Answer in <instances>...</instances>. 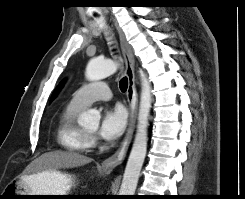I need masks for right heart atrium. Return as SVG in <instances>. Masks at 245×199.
<instances>
[{
  "mask_svg": "<svg viewBox=\"0 0 245 199\" xmlns=\"http://www.w3.org/2000/svg\"><path fill=\"white\" fill-rule=\"evenodd\" d=\"M91 142L93 141V138H90Z\"/></svg>",
  "mask_w": 245,
  "mask_h": 199,
  "instance_id": "right-heart-atrium-1",
  "label": "right heart atrium"
}]
</instances>
